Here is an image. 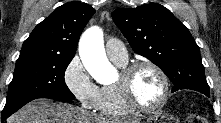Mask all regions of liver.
<instances>
[{
    "instance_id": "6515ba94",
    "label": "liver",
    "mask_w": 221,
    "mask_h": 123,
    "mask_svg": "<svg viewBox=\"0 0 221 123\" xmlns=\"http://www.w3.org/2000/svg\"><path fill=\"white\" fill-rule=\"evenodd\" d=\"M135 123L98 117L68 104L37 99L25 105L7 119V123Z\"/></svg>"
}]
</instances>
